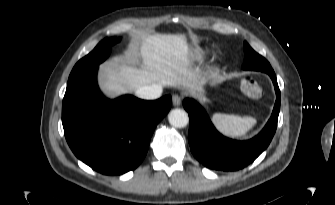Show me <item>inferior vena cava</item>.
Here are the masks:
<instances>
[{
  "instance_id": "602c4592",
  "label": "inferior vena cava",
  "mask_w": 335,
  "mask_h": 205,
  "mask_svg": "<svg viewBox=\"0 0 335 205\" xmlns=\"http://www.w3.org/2000/svg\"><path fill=\"white\" fill-rule=\"evenodd\" d=\"M162 87L158 84L144 86L136 90V95L142 99L153 100L161 96Z\"/></svg>"
}]
</instances>
